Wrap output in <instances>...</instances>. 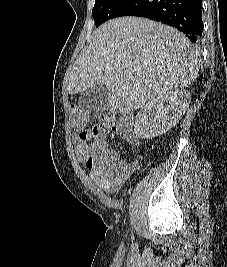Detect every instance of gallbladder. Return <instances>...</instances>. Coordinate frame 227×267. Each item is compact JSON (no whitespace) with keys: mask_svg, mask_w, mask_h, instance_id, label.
Returning a JSON list of instances; mask_svg holds the SVG:
<instances>
[{"mask_svg":"<svg viewBox=\"0 0 227 267\" xmlns=\"http://www.w3.org/2000/svg\"><path fill=\"white\" fill-rule=\"evenodd\" d=\"M108 99V88L104 84L95 85L81 92L78 103L86 112L101 111Z\"/></svg>","mask_w":227,"mask_h":267,"instance_id":"1","label":"gallbladder"}]
</instances>
